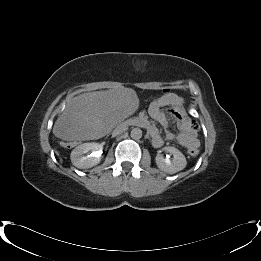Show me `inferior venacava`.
<instances>
[{
    "instance_id": "obj_1",
    "label": "inferior vena cava",
    "mask_w": 261,
    "mask_h": 261,
    "mask_svg": "<svg viewBox=\"0 0 261 261\" xmlns=\"http://www.w3.org/2000/svg\"><path fill=\"white\" fill-rule=\"evenodd\" d=\"M126 130V127L125 126H118L115 131L113 132L115 135H118L120 133H122L123 131Z\"/></svg>"
}]
</instances>
